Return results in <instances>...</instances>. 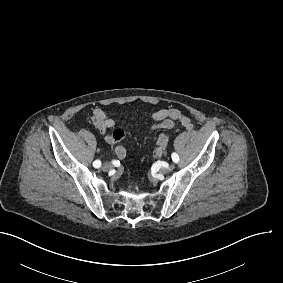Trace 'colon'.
I'll return each instance as SVG.
<instances>
[{"mask_svg":"<svg viewBox=\"0 0 283 283\" xmlns=\"http://www.w3.org/2000/svg\"><path fill=\"white\" fill-rule=\"evenodd\" d=\"M169 140L167 133H162L153 148V158L158 160L162 157L166 149V142Z\"/></svg>","mask_w":283,"mask_h":283,"instance_id":"1","label":"colon"}]
</instances>
